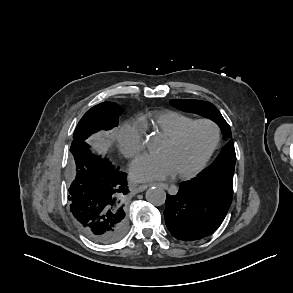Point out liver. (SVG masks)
Here are the masks:
<instances>
[{"label":"liver","instance_id":"1","mask_svg":"<svg viewBox=\"0 0 293 293\" xmlns=\"http://www.w3.org/2000/svg\"><path fill=\"white\" fill-rule=\"evenodd\" d=\"M88 142L94 149H96L100 153L106 152L108 148V144L100 135H93Z\"/></svg>","mask_w":293,"mask_h":293}]
</instances>
